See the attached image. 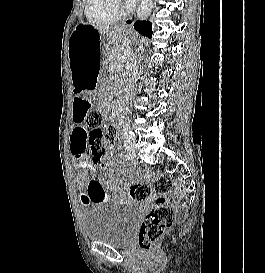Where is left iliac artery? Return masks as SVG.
<instances>
[{
    "label": "left iliac artery",
    "mask_w": 265,
    "mask_h": 273,
    "mask_svg": "<svg viewBox=\"0 0 265 273\" xmlns=\"http://www.w3.org/2000/svg\"><path fill=\"white\" fill-rule=\"evenodd\" d=\"M123 134L125 138L133 139L135 137V134L131 131H129L127 128L123 129Z\"/></svg>",
    "instance_id": "1"
}]
</instances>
